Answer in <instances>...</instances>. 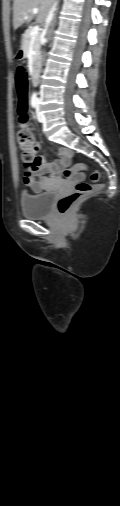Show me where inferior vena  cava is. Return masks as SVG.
I'll return each mask as SVG.
<instances>
[{
  "instance_id": "obj_1",
  "label": "inferior vena cava",
  "mask_w": 120,
  "mask_h": 506,
  "mask_svg": "<svg viewBox=\"0 0 120 506\" xmlns=\"http://www.w3.org/2000/svg\"><path fill=\"white\" fill-rule=\"evenodd\" d=\"M55 8H56V4H54L46 18V27H48V25L50 24V22L52 21L53 19V16H54V11H55Z\"/></svg>"
}]
</instances>
